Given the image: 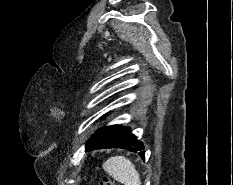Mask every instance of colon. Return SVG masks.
<instances>
[{
  "instance_id": "1",
  "label": "colon",
  "mask_w": 233,
  "mask_h": 185,
  "mask_svg": "<svg viewBox=\"0 0 233 185\" xmlns=\"http://www.w3.org/2000/svg\"><path fill=\"white\" fill-rule=\"evenodd\" d=\"M100 185H115L114 182L108 177H104Z\"/></svg>"
}]
</instances>
